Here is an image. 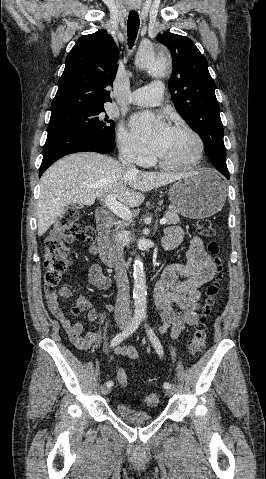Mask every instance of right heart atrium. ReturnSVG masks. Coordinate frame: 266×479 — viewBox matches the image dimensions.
<instances>
[{"label": "right heart atrium", "mask_w": 266, "mask_h": 479, "mask_svg": "<svg viewBox=\"0 0 266 479\" xmlns=\"http://www.w3.org/2000/svg\"><path fill=\"white\" fill-rule=\"evenodd\" d=\"M117 141L120 153L125 160L138 165H145L149 162L147 151L122 126L118 129Z\"/></svg>", "instance_id": "d8ad5b80"}]
</instances>
